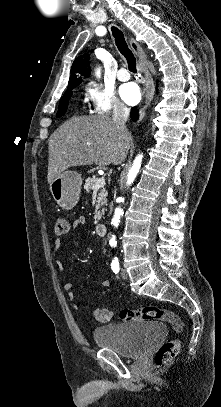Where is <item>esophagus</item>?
<instances>
[{"label": "esophagus", "instance_id": "1", "mask_svg": "<svg viewBox=\"0 0 221 407\" xmlns=\"http://www.w3.org/2000/svg\"><path fill=\"white\" fill-rule=\"evenodd\" d=\"M129 43H130V47H131L132 51L134 52V54L137 55V56H139L140 51H141L140 45H139L133 38H130V39H129ZM140 70H141V72L144 73V75H145L146 77L148 76V69H147V67H146L144 64H142V63H141V69H140ZM153 93H154V89L151 88L149 82H147V83H146V88H145V91H144V94H143V97H144V105H143V107L140 109V112H139V121L142 120V118H143V116H144V114H145V110H146V108L149 106V103H150V101H151V99H152Z\"/></svg>", "mask_w": 221, "mask_h": 407}]
</instances>
